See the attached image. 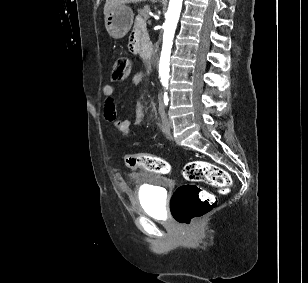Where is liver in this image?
Returning <instances> with one entry per match:
<instances>
[{"instance_id": "1", "label": "liver", "mask_w": 308, "mask_h": 283, "mask_svg": "<svg viewBox=\"0 0 308 283\" xmlns=\"http://www.w3.org/2000/svg\"><path fill=\"white\" fill-rule=\"evenodd\" d=\"M146 0H106L104 6V15L106 16L114 7L125 3H138Z\"/></svg>"}]
</instances>
